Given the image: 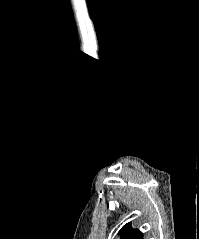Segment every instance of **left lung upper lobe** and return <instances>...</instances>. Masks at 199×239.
Returning <instances> with one entry per match:
<instances>
[{"instance_id": "obj_1", "label": "left lung upper lobe", "mask_w": 199, "mask_h": 239, "mask_svg": "<svg viewBox=\"0 0 199 239\" xmlns=\"http://www.w3.org/2000/svg\"><path fill=\"white\" fill-rule=\"evenodd\" d=\"M130 224L127 223L119 231L121 239H143L142 232L138 229H131Z\"/></svg>"}]
</instances>
